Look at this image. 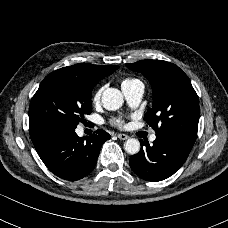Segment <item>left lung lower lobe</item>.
I'll list each match as a JSON object with an SVG mask.
<instances>
[{"label": "left lung lower lobe", "mask_w": 228, "mask_h": 228, "mask_svg": "<svg viewBox=\"0 0 228 228\" xmlns=\"http://www.w3.org/2000/svg\"><path fill=\"white\" fill-rule=\"evenodd\" d=\"M140 143L139 153L129 159L130 167L142 179L153 182L164 180L178 171L194 145L193 141L167 135H156L153 145L142 140Z\"/></svg>", "instance_id": "obj_1"}]
</instances>
